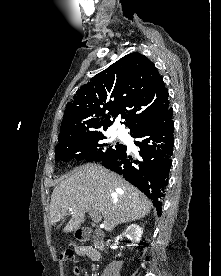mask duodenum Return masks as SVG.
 <instances>
[{"mask_svg":"<svg viewBox=\"0 0 221 276\" xmlns=\"http://www.w3.org/2000/svg\"><path fill=\"white\" fill-rule=\"evenodd\" d=\"M76 238L81 241V242H86L91 239L92 232L89 229L83 228V229H78L75 232ZM95 250L97 249H102L104 247V242L102 239H96L93 243V246H91Z\"/></svg>","mask_w":221,"mask_h":276,"instance_id":"obj_1","label":"duodenum"}]
</instances>
